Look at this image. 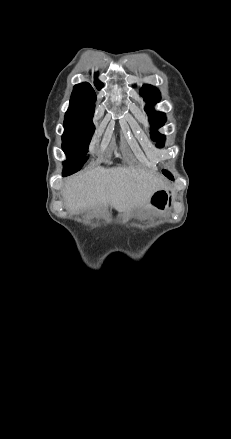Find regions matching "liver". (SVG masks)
<instances>
[{
    "label": "liver",
    "instance_id": "6515ba94",
    "mask_svg": "<svg viewBox=\"0 0 231 439\" xmlns=\"http://www.w3.org/2000/svg\"><path fill=\"white\" fill-rule=\"evenodd\" d=\"M164 181L135 167H97L67 179L62 192L72 212L108 203L119 211L147 202L154 192L165 189Z\"/></svg>",
    "mask_w": 231,
    "mask_h": 439
}]
</instances>
